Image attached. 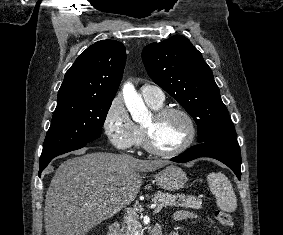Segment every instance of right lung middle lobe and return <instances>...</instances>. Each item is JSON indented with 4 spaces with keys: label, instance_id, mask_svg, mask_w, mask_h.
<instances>
[{
    "label": "right lung middle lobe",
    "instance_id": "1",
    "mask_svg": "<svg viewBox=\"0 0 283 235\" xmlns=\"http://www.w3.org/2000/svg\"><path fill=\"white\" fill-rule=\"evenodd\" d=\"M112 100L73 98L58 102L47 132L40 162L74 145L101 136Z\"/></svg>",
    "mask_w": 283,
    "mask_h": 235
}]
</instances>
